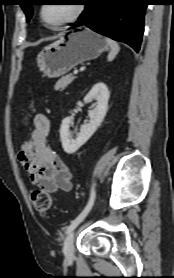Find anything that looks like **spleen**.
Returning <instances> with one entry per match:
<instances>
[{"label":"spleen","instance_id":"obj_1","mask_svg":"<svg viewBox=\"0 0 174 278\" xmlns=\"http://www.w3.org/2000/svg\"><path fill=\"white\" fill-rule=\"evenodd\" d=\"M105 40L109 44L110 49H111L110 53L108 54L107 59H108V61H112L116 57V55L118 54V52L120 50V47H119V45L116 41H114L110 38L106 37Z\"/></svg>","mask_w":174,"mask_h":278}]
</instances>
